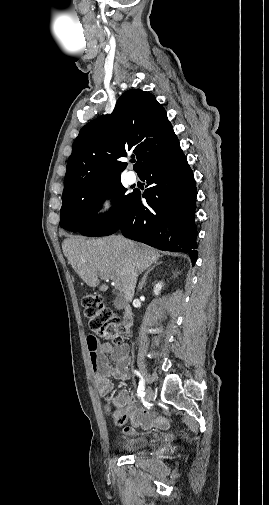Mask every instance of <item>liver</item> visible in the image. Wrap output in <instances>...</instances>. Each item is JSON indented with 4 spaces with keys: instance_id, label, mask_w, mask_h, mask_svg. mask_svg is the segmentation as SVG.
<instances>
[{
    "instance_id": "1",
    "label": "liver",
    "mask_w": 269,
    "mask_h": 505,
    "mask_svg": "<svg viewBox=\"0 0 269 505\" xmlns=\"http://www.w3.org/2000/svg\"><path fill=\"white\" fill-rule=\"evenodd\" d=\"M62 249L69 264L88 286H99L104 292L108 286L100 284L99 277L110 276L120 284L125 302H131L134 297L138 274L161 257L156 249L120 235L99 239L70 237L63 241Z\"/></svg>"
}]
</instances>
